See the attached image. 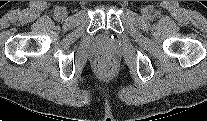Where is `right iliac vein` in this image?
<instances>
[{
	"mask_svg": "<svg viewBox=\"0 0 207 121\" xmlns=\"http://www.w3.org/2000/svg\"><path fill=\"white\" fill-rule=\"evenodd\" d=\"M59 14L62 18L67 16V11L65 9H60Z\"/></svg>",
	"mask_w": 207,
	"mask_h": 121,
	"instance_id": "obj_1",
	"label": "right iliac vein"
}]
</instances>
